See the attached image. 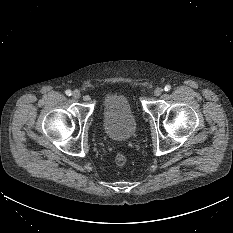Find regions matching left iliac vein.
<instances>
[{
  "instance_id": "4c4485c4",
  "label": "left iliac vein",
  "mask_w": 233,
  "mask_h": 233,
  "mask_svg": "<svg viewBox=\"0 0 233 233\" xmlns=\"http://www.w3.org/2000/svg\"><path fill=\"white\" fill-rule=\"evenodd\" d=\"M163 92V89L161 87H157L155 90H154V94L155 96H160Z\"/></svg>"
}]
</instances>
